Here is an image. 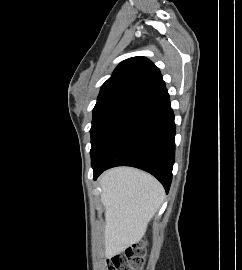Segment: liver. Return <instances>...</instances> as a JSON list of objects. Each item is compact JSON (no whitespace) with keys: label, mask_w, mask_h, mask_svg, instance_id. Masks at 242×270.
Returning <instances> with one entry per match:
<instances>
[{"label":"liver","mask_w":242,"mask_h":270,"mask_svg":"<svg viewBox=\"0 0 242 270\" xmlns=\"http://www.w3.org/2000/svg\"><path fill=\"white\" fill-rule=\"evenodd\" d=\"M105 207V246L109 253L140 241L164 199L162 185L150 174L117 167L100 176Z\"/></svg>","instance_id":"6515ba94"}]
</instances>
